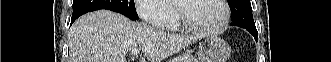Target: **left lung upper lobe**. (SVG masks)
Listing matches in <instances>:
<instances>
[{"mask_svg":"<svg viewBox=\"0 0 331 62\" xmlns=\"http://www.w3.org/2000/svg\"><path fill=\"white\" fill-rule=\"evenodd\" d=\"M231 8L230 25L239 26L248 30L255 39L258 37L256 26L252 16L250 0H227Z\"/></svg>","mask_w":331,"mask_h":62,"instance_id":"obj_1","label":"left lung upper lobe"}]
</instances>
